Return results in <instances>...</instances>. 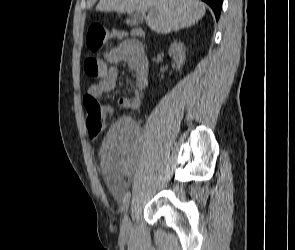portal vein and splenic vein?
I'll list each match as a JSON object with an SVG mask.
<instances>
[{
	"label": "portal vein and splenic vein",
	"mask_w": 295,
	"mask_h": 250,
	"mask_svg": "<svg viewBox=\"0 0 295 250\" xmlns=\"http://www.w3.org/2000/svg\"><path fill=\"white\" fill-rule=\"evenodd\" d=\"M150 10V12H153V9H149Z\"/></svg>",
	"instance_id": "1"
}]
</instances>
